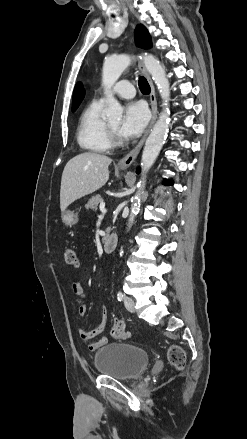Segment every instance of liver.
I'll list each match as a JSON object with an SVG mask.
<instances>
[{
  "label": "liver",
  "mask_w": 247,
  "mask_h": 439,
  "mask_svg": "<svg viewBox=\"0 0 247 439\" xmlns=\"http://www.w3.org/2000/svg\"><path fill=\"white\" fill-rule=\"evenodd\" d=\"M112 159L93 152L81 153L64 167L60 208L64 211L72 202L100 189L109 179L108 167Z\"/></svg>",
  "instance_id": "liver-1"
}]
</instances>
